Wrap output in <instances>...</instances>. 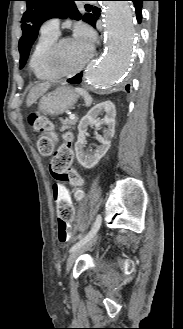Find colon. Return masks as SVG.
I'll list each match as a JSON object with an SVG mask.
<instances>
[{
    "label": "colon",
    "mask_w": 183,
    "mask_h": 329,
    "mask_svg": "<svg viewBox=\"0 0 183 329\" xmlns=\"http://www.w3.org/2000/svg\"><path fill=\"white\" fill-rule=\"evenodd\" d=\"M29 126L39 134L38 149L44 156L53 155L49 170L56 182L69 183L76 187L75 197L82 198V191L79 189L82 185V178L78 171L72 167L73 149L71 136L65 135L64 143L56 150V134L51 122L37 114L32 113L28 118ZM56 201V199H54ZM73 218H57L58 221V238L60 242H67L70 239L68 226Z\"/></svg>",
    "instance_id": "5ec220e1"
}]
</instances>
